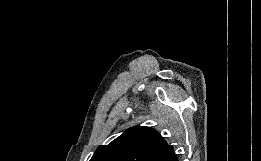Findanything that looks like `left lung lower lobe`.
I'll return each mask as SVG.
<instances>
[{
	"label": "left lung lower lobe",
	"instance_id": "left-lung-lower-lobe-1",
	"mask_svg": "<svg viewBox=\"0 0 261 161\" xmlns=\"http://www.w3.org/2000/svg\"><path fill=\"white\" fill-rule=\"evenodd\" d=\"M153 161H178V159L173 151V146L169 145Z\"/></svg>",
	"mask_w": 261,
	"mask_h": 161
}]
</instances>
